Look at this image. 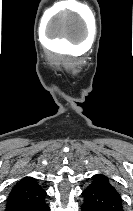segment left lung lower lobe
I'll use <instances>...</instances> for the list:
<instances>
[{"label": "left lung lower lobe", "mask_w": 133, "mask_h": 211, "mask_svg": "<svg viewBox=\"0 0 133 211\" xmlns=\"http://www.w3.org/2000/svg\"><path fill=\"white\" fill-rule=\"evenodd\" d=\"M83 211H124L120 195L89 186L83 192Z\"/></svg>", "instance_id": "0a47b994"}]
</instances>
